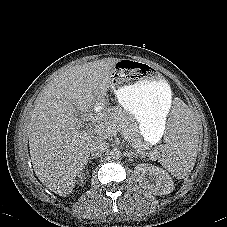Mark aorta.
<instances>
[{
	"label": "aorta",
	"instance_id": "aorta-1",
	"mask_svg": "<svg viewBox=\"0 0 227 227\" xmlns=\"http://www.w3.org/2000/svg\"><path fill=\"white\" fill-rule=\"evenodd\" d=\"M110 155L113 159H119L122 155L121 151L117 148L111 150Z\"/></svg>",
	"mask_w": 227,
	"mask_h": 227
}]
</instances>
